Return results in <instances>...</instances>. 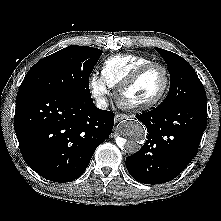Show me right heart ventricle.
I'll return each instance as SVG.
<instances>
[{"label":"right heart ventricle","instance_id":"right-heart-ventricle-1","mask_svg":"<svg viewBox=\"0 0 221 221\" xmlns=\"http://www.w3.org/2000/svg\"><path fill=\"white\" fill-rule=\"evenodd\" d=\"M151 62L154 61L143 55H114L105 60L102 68V76L110 87H118L136 69Z\"/></svg>","mask_w":221,"mask_h":221}]
</instances>
